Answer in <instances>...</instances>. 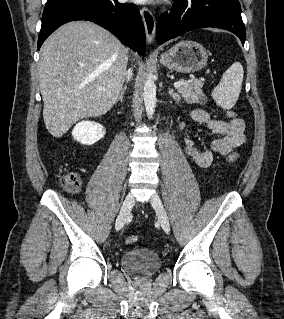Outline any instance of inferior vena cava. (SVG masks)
<instances>
[{"mask_svg": "<svg viewBox=\"0 0 284 319\" xmlns=\"http://www.w3.org/2000/svg\"><path fill=\"white\" fill-rule=\"evenodd\" d=\"M126 75H127V80H129L132 76V70L129 69L127 72H126Z\"/></svg>", "mask_w": 284, "mask_h": 319, "instance_id": "602c4592", "label": "inferior vena cava"}]
</instances>
